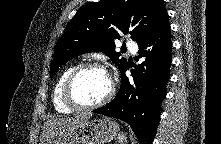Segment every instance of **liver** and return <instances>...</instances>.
<instances>
[{
  "mask_svg": "<svg viewBox=\"0 0 221 144\" xmlns=\"http://www.w3.org/2000/svg\"><path fill=\"white\" fill-rule=\"evenodd\" d=\"M91 114L78 115L75 117L66 118H52L44 123L42 130L40 144H45L52 136L57 132H60L66 128L74 127L83 124L85 121L90 119Z\"/></svg>",
  "mask_w": 221,
  "mask_h": 144,
  "instance_id": "obj_1",
  "label": "liver"
}]
</instances>
